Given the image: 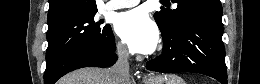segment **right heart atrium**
<instances>
[{"instance_id": "1", "label": "right heart atrium", "mask_w": 260, "mask_h": 84, "mask_svg": "<svg viewBox=\"0 0 260 84\" xmlns=\"http://www.w3.org/2000/svg\"><path fill=\"white\" fill-rule=\"evenodd\" d=\"M115 51L117 55L121 58H126L128 56V50L121 41L116 42Z\"/></svg>"}]
</instances>
